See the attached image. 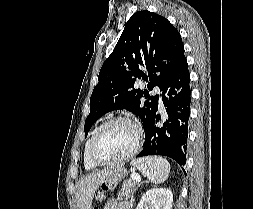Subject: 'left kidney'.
I'll return each instance as SVG.
<instances>
[{"instance_id": "1", "label": "left kidney", "mask_w": 253, "mask_h": 209, "mask_svg": "<svg viewBox=\"0 0 253 209\" xmlns=\"http://www.w3.org/2000/svg\"><path fill=\"white\" fill-rule=\"evenodd\" d=\"M173 203V194L167 188H153L148 190L136 209H171Z\"/></svg>"}]
</instances>
